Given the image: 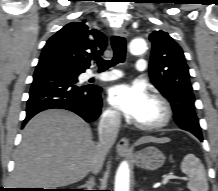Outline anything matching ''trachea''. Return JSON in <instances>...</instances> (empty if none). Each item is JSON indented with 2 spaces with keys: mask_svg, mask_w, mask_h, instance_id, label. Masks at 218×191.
<instances>
[{
  "mask_svg": "<svg viewBox=\"0 0 218 191\" xmlns=\"http://www.w3.org/2000/svg\"><path fill=\"white\" fill-rule=\"evenodd\" d=\"M111 45L114 52V57L112 60H104L98 57L97 64L99 71H105L110 67L115 66L118 63H123L126 56V40L121 36H113L111 38Z\"/></svg>",
  "mask_w": 218,
  "mask_h": 191,
  "instance_id": "trachea-1",
  "label": "trachea"
}]
</instances>
